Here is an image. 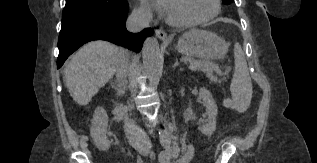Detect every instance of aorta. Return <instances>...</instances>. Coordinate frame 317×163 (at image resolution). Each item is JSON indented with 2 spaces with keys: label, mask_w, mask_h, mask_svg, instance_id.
Here are the masks:
<instances>
[{
  "label": "aorta",
  "mask_w": 317,
  "mask_h": 163,
  "mask_svg": "<svg viewBox=\"0 0 317 163\" xmlns=\"http://www.w3.org/2000/svg\"><path fill=\"white\" fill-rule=\"evenodd\" d=\"M143 66L152 86L156 87L162 73V56L156 38L148 37L142 49Z\"/></svg>",
  "instance_id": "obj_1"
}]
</instances>
